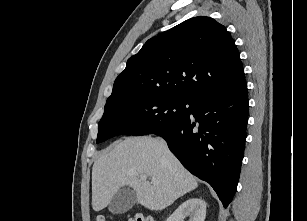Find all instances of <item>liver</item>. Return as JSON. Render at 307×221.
Wrapping results in <instances>:
<instances>
[{"instance_id": "liver-1", "label": "liver", "mask_w": 307, "mask_h": 221, "mask_svg": "<svg viewBox=\"0 0 307 221\" xmlns=\"http://www.w3.org/2000/svg\"><path fill=\"white\" fill-rule=\"evenodd\" d=\"M142 174L149 180L140 179ZM124 186L134 189L138 204L158 211L196 189L198 181L162 139L143 136L116 143L95 161L92 168L93 210L105 208Z\"/></svg>"}]
</instances>
